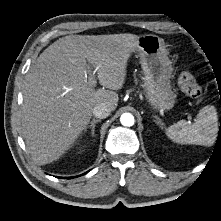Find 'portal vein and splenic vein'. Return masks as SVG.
<instances>
[{
  "label": "portal vein and splenic vein",
  "mask_w": 221,
  "mask_h": 221,
  "mask_svg": "<svg viewBox=\"0 0 221 221\" xmlns=\"http://www.w3.org/2000/svg\"><path fill=\"white\" fill-rule=\"evenodd\" d=\"M95 72H96V71H93V73H92V75H91V85H92V86H95V84H96V81L93 79Z\"/></svg>",
  "instance_id": "18ae733b"
}]
</instances>
